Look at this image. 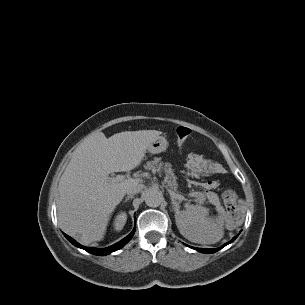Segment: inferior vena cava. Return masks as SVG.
<instances>
[{
    "instance_id": "602c4592",
    "label": "inferior vena cava",
    "mask_w": 305,
    "mask_h": 305,
    "mask_svg": "<svg viewBox=\"0 0 305 305\" xmlns=\"http://www.w3.org/2000/svg\"><path fill=\"white\" fill-rule=\"evenodd\" d=\"M143 188H144V185H143V184L132 185V186H130V187L126 190V193H127L128 195L136 194V193L141 192Z\"/></svg>"
}]
</instances>
